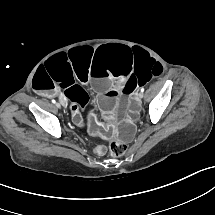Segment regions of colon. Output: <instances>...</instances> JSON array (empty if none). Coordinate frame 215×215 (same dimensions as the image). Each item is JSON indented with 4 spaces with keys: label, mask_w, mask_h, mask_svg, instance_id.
Here are the masks:
<instances>
[{
    "label": "colon",
    "mask_w": 215,
    "mask_h": 215,
    "mask_svg": "<svg viewBox=\"0 0 215 215\" xmlns=\"http://www.w3.org/2000/svg\"><path fill=\"white\" fill-rule=\"evenodd\" d=\"M77 98L80 100H87V97L83 92H77ZM127 146L123 142H111L109 144L108 150L111 155L119 156L124 154L126 151Z\"/></svg>",
    "instance_id": "1"
}]
</instances>
